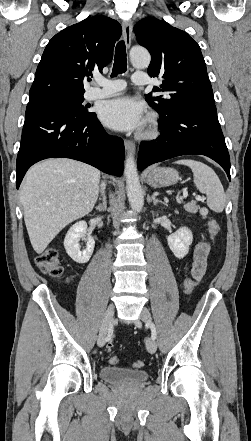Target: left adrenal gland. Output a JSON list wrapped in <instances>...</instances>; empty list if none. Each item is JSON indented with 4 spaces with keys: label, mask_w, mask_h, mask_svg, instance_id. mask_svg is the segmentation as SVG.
<instances>
[{
    "label": "left adrenal gland",
    "mask_w": 251,
    "mask_h": 441,
    "mask_svg": "<svg viewBox=\"0 0 251 441\" xmlns=\"http://www.w3.org/2000/svg\"><path fill=\"white\" fill-rule=\"evenodd\" d=\"M151 201H153V204H154V205H157L158 203H161V204L166 205V203L162 202L161 200H158V199L155 197V195H152V196H151Z\"/></svg>",
    "instance_id": "left-adrenal-gland-1"
}]
</instances>
